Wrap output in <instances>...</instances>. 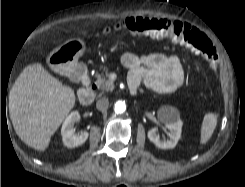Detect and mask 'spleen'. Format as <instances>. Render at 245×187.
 I'll use <instances>...</instances> for the list:
<instances>
[{
	"label": "spleen",
	"mask_w": 245,
	"mask_h": 187,
	"mask_svg": "<svg viewBox=\"0 0 245 187\" xmlns=\"http://www.w3.org/2000/svg\"><path fill=\"white\" fill-rule=\"evenodd\" d=\"M217 119H218L217 114L214 113L205 114L201 126V137H200L201 144L207 143L211 138L217 125Z\"/></svg>",
	"instance_id": "spleen-1"
}]
</instances>
